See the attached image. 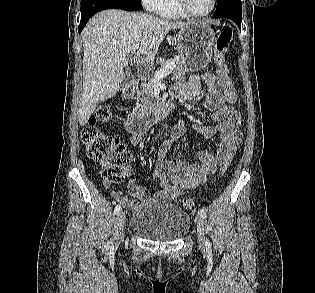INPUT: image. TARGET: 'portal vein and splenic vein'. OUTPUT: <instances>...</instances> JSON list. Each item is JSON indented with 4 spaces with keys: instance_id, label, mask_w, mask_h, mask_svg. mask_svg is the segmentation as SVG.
<instances>
[{
    "instance_id": "1",
    "label": "portal vein and splenic vein",
    "mask_w": 315,
    "mask_h": 293,
    "mask_svg": "<svg viewBox=\"0 0 315 293\" xmlns=\"http://www.w3.org/2000/svg\"><path fill=\"white\" fill-rule=\"evenodd\" d=\"M138 47H139V45L137 44L135 46V48L133 49V53L136 52ZM174 67H175V63L174 62H170L166 66L159 68L158 70L155 71V74H154L155 78H161L163 76H167L168 74H170L172 72Z\"/></svg>"
}]
</instances>
